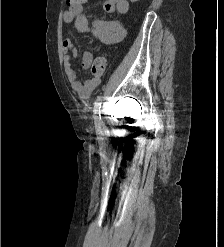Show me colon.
Masks as SVG:
<instances>
[{
  "label": "colon",
  "mask_w": 224,
  "mask_h": 247,
  "mask_svg": "<svg viewBox=\"0 0 224 247\" xmlns=\"http://www.w3.org/2000/svg\"><path fill=\"white\" fill-rule=\"evenodd\" d=\"M86 0H67L69 7H79L83 6ZM107 65V58L105 55H100L95 58L91 64V72L94 76L99 77L105 72Z\"/></svg>",
  "instance_id": "5ec220e1"
}]
</instances>
